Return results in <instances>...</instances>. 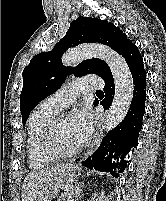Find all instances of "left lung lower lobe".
I'll return each instance as SVG.
<instances>
[{
    "instance_id": "left-lung-lower-lobe-1",
    "label": "left lung lower lobe",
    "mask_w": 166,
    "mask_h": 201,
    "mask_svg": "<svg viewBox=\"0 0 166 201\" xmlns=\"http://www.w3.org/2000/svg\"><path fill=\"white\" fill-rule=\"evenodd\" d=\"M123 57L130 68L134 83L130 108L123 121L104 137L94 154L82 162L87 168L109 172L114 177H118L119 173L125 170L129 155L137 146L145 113L146 71L143 58L137 46L133 43L127 48ZM104 80L106 96L100 104L108 109L113 100L115 88L112 74L105 77ZM98 104L99 102L95 106Z\"/></svg>"
}]
</instances>
